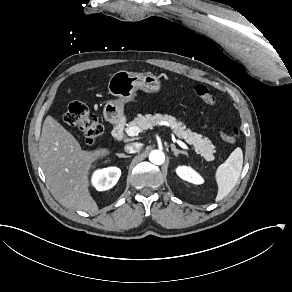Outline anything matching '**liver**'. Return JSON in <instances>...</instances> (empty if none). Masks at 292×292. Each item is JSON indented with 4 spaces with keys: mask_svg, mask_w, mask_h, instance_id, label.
Listing matches in <instances>:
<instances>
[{
    "mask_svg": "<svg viewBox=\"0 0 292 292\" xmlns=\"http://www.w3.org/2000/svg\"><path fill=\"white\" fill-rule=\"evenodd\" d=\"M39 153L41 169L60 202L74 210L97 212L98 204L90 193V175L95 163L107 158L112 149H82L77 138L48 115L42 126Z\"/></svg>",
    "mask_w": 292,
    "mask_h": 292,
    "instance_id": "1",
    "label": "liver"
}]
</instances>
